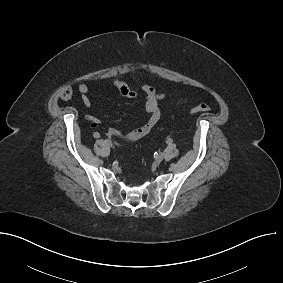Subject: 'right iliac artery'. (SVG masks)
<instances>
[{"mask_svg":"<svg viewBox=\"0 0 283 283\" xmlns=\"http://www.w3.org/2000/svg\"><path fill=\"white\" fill-rule=\"evenodd\" d=\"M94 136H95L97 139H100V138H101V135L99 134L98 131H95V132H94Z\"/></svg>","mask_w":283,"mask_h":283,"instance_id":"obj_1","label":"right iliac artery"}]
</instances>
